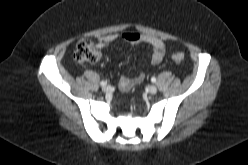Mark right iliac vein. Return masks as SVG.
Wrapping results in <instances>:
<instances>
[{
	"label": "right iliac vein",
	"instance_id": "obj_1",
	"mask_svg": "<svg viewBox=\"0 0 248 165\" xmlns=\"http://www.w3.org/2000/svg\"><path fill=\"white\" fill-rule=\"evenodd\" d=\"M102 90L106 93L110 92L111 87L110 86H103Z\"/></svg>",
	"mask_w": 248,
	"mask_h": 165
}]
</instances>
